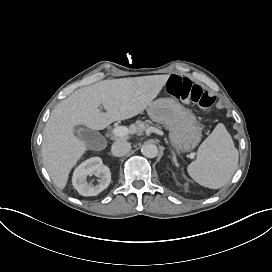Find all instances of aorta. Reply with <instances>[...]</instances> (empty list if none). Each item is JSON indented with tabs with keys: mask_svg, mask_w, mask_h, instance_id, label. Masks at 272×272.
<instances>
[{
	"mask_svg": "<svg viewBox=\"0 0 272 272\" xmlns=\"http://www.w3.org/2000/svg\"><path fill=\"white\" fill-rule=\"evenodd\" d=\"M158 147L155 144H144L141 152L147 158H155L158 155Z\"/></svg>",
	"mask_w": 272,
	"mask_h": 272,
	"instance_id": "1",
	"label": "aorta"
}]
</instances>
